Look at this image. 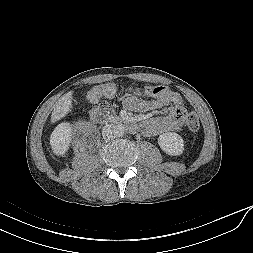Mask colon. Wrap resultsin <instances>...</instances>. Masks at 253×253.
<instances>
[{"mask_svg": "<svg viewBox=\"0 0 253 253\" xmlns=\"http://www.w3.org/2000/svg\"><path fill=\"white\" fill-rule=\"evenodd\" d=\"M132 91L136 94H145L148 96H158L162 95L167 91L165 86L155 85L148 86L143 89H132ZM116 93V87L113 84H107L105 86L97 87L92 89L88 93V98L90 101L95 102L101 96H113ZM186 125L192 131H197L200 127L199 117L195 112H191L186 117Z\"/></svg>", "mask_w": 253, "mask_h": 253, "instance_id": "1", "label": "colon"}]
</instances>
